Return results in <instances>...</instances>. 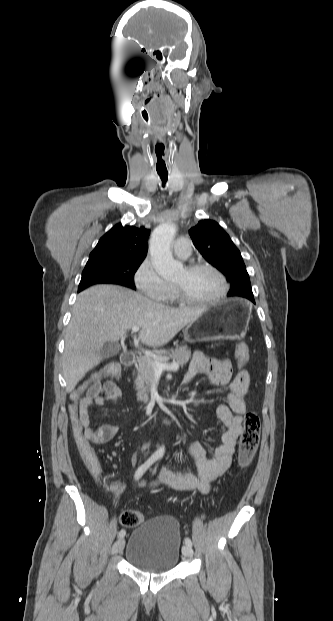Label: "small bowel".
Listing matches in <instances>:
<instances>
[{"label": "small bowel", "mask_w": 333, "mask_h": 621, "mask_svg": "<svg viewBox=\"0 0 333 621\" xmlns=\"http://www.w3.org/2000/svg\"><path fill=\"white\" fill-rule=\"evenodd\" d=\"M200 373L206 374L215 384L230 383L227 402L218 406L216 410V415L224 426L221 442L213 453L208 455L199 442L188 441L186 450L195 463L197 474L162 469L157 483L178 491L197 490L206 494L211 488V483L231 466L237 439L242 432L250 375L246 370H239L232 378L227 360L209 357L203 352L196 353L192 358L185 383H190ZM121 397V388L111 380L104 383L90 381L74 394V399L78 400V415L87 440L100 444L110 441L118 434L117 424H103L94 429L90 421V408L93 404L100 408L107 401H117ZM112 489L118 494L123 486L115 484Z\"/></svg>", "instance_id": "obj_1"}]
</instances>
